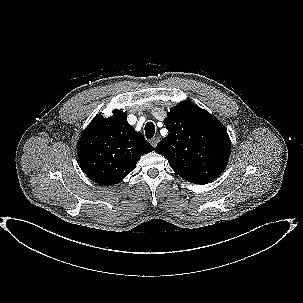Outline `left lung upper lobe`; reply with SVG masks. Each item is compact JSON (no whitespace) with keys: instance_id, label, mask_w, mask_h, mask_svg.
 Instances as JSON below:
<instances>
[{"instance_id":"obj_1","label":"left lung upper lobe","mask_w":303,"mask_h":303,"mask_svg":"<svg viewBox=\"0 0 303 303\" xmlns=\"http://www.w3.org/2000/svg\"><path fill=\"white\" fill-rule=\"evenodd\" d=\"M168 136L156 146L183 179L206 184L225 169L231 154L227 130L213 115L184 101L168 113Z\"/></svg>"}]
</instances>
